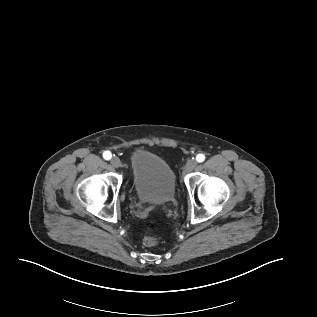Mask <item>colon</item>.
I'll list each match as a JSON object with an SVG mask.
<instances>
[{"label":"colon","instance_id":"1","mask_svg":"<svg viewBox=\"0 0 317 317\" xmlns=\"http://www.w3.org/2000/svg\"><path fill=\"white\" fill-rule=\"evenodd\" d=\"M148 227L151 229L153 228V224L150 223L148 225ZM143 244L147 247H152V246H155L158 244V239L156 237H153V236H150V235H146L144 238H143Z\"/></svg>","mask_w":317,"mask_h":317}]
</instances>
